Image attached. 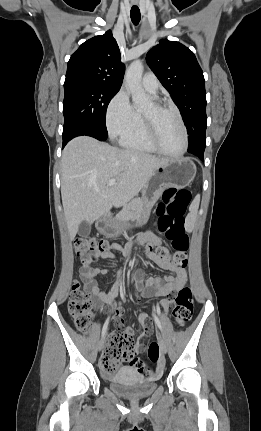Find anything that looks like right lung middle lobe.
Returning a JSON list of instances; mask_svg holds the SVG:
<instances>
[{"label": "right lung middle lobe", "mask_w": 261, "mask_h": 431, "mask_svg": "<svg viewBox=\"0 0 261 431\" xmlns=\"http://www.w3.org/2000/svg\"><path fill=\"white\" fill-rule=\"evenodd\" d=\"M119 89L87 79L65 80L64 126L76 125L82 134L98 140H106V110Z\"/></svg>", "instance_id": "right-lung-middle-lobe-1"}]
</instances>
